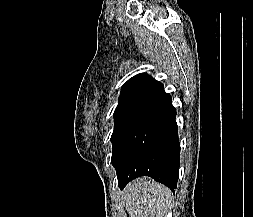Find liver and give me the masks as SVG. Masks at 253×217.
Returning <instances> with one entry per match:
<instances>
[{"label":"liver","mask_w":253,"mask_h":217,"mask_svg":"<svg viewBox=\"0 0 253 217\" xmlns=\"http://www.w3.org/2000/svg\"><path fill=\"white\" fill-rule=\"evenodd\" d=\"M171 191L149 177L130 182L122 192L129 217H166Z\"/></svg>","instance_id":"1"}]
</instances>
